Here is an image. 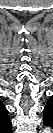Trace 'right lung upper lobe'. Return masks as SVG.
Listing matches in <instances>:
<instances>
[{
	"instance_id": "obj_1",
	"label": "right lung upper lobe",
	"mask_w": 53,
	"mask_h": 133,
	"mask_svg": "<svg viewBox=\"0 0 53 133\" xmlns=\"http://www.w3.org/2000/svg\"><path fill=\"white\" fill-rule=\"evenodd\" d=\"M12 124L8 117V111L0 102V130H5L7 133L12 132Z\"/></svg>"
}]
</instances>
